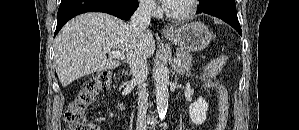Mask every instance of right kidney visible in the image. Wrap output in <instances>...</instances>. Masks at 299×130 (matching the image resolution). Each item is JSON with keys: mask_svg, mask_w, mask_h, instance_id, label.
Here are the masks:
<instances>
[{"mask_svg": "<svg viewBox=\"0 0 299 130\" xmlns=\"http://www.w3.org/2000/svg\"><path fill=\"white\" fill-rule=\"evenodd\" d=\"M110 116L112 117V116H113V114H112V113H110Z\"/></svg>", "mask_w": 299, "mask_h": 130, "instance_id": "1", "label": "right kidney"}]
</instances>
